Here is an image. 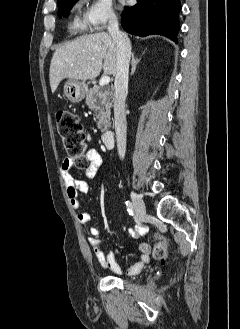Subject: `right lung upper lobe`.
I'll return each instance as SVG.
<instances>
[{
	"mask_svg": "<svg viewBox=\"0 0 240 329\" xmlns=\"http://www.w3.org/2000/svg\"><path fill=\"white\" fill-rule=\"evenodd\" d=\"M61 1H63V0H57V3H58V2H61Z\"/></svg>",
	"mask_w": 240,
	"mask_h": 329,
	"instance_id": "1",
	"label": "right lung upper lobe"
}]
</instances>
